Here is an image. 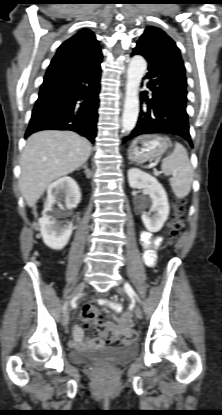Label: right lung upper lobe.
Returning a JSON list of instances; mask_svg holds the SVG:
<instances>
[{"label": "right lung upper lobe", "instance_id": "obj_1", "mask_svg": "<svg viewBox=\"0 0 222 415\" xmlns=\"http://www.w3.org/2000/svg\"><path fill=\"white\" fill-rule=\"evenodd\" d=\"M101 57L95 35L90 30H81L58 48L51 62L86 63Z\"/></svg>", "mask_w": 222, "mask_h": 415}]
</instances>
